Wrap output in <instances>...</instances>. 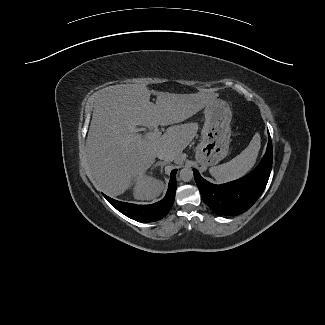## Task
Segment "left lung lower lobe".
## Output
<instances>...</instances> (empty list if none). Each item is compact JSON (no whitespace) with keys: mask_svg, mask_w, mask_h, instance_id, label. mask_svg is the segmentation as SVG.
Returning a JSON list of instances; mask_svg holds the SVG:
<instances>
[{"mask_svg":"<svg viewBox=\"0 0 325 325\" xmlns=\"http://www.w3.org/2000/svg\"><path fill=\"white\" fill-rule=\"evenodd\" d=\"M273 151L269 135L267 150L259 165L248 175L222 185L211 184L193 169L204 202L218 215L234 216L247 211L264 191L272 168Z\"/></svg>","mask_w":325,"mask_h":325,"instance_id":"1","label":"left lung lower lobe"}]
</instances>
